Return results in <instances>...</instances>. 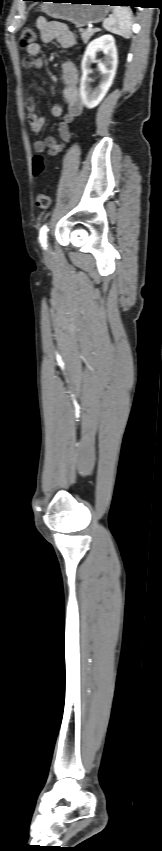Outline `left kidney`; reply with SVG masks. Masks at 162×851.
Returning <instances> with one entry per match:
<instances>
[{"label": "left kidney", "mask_w": 162, "mask_h": 851, "mask_svg": "<svg viewBox=\"0 0 162 851\" xmlns=\"http://www.w3.org/2000/svg\"><path fill=\"white\" fill-rule=\"evenodd\" d=\"M100 52L104 54L103 61L98 62L100 82L97 87L92 88L90 85L91 78L89 77L90 67ZM117 65L118 55L115 39L112 35H103L88 44L81 62L82 76L80 81L81 100L88 109L96 107L107 94L115 77Z\"/></svg>", "instance_id": "left-kidney-1"}]
</instances>
